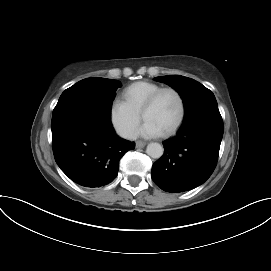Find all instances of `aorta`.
Here are the masks:
<instances>
[{"label": "aorta", "mask_w": 271, "mask_h": 271, "mask_svg": "<svg viewBox=\"0 0 271 271\" xmlns=\"http://www.w3.org/2000/svg\"><path fill=\"white\" fill-rule=\"evenodd\" d=\"M164 149L159 143H149L146 148V153L155 159L160 158L163 155Z\"/></svg>", "instance_id": "762f6f07"}]
</instances>
